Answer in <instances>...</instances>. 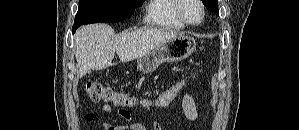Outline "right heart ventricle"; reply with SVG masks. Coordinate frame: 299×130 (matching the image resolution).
I'll return each mask as SVG.
<instances>
[{
  "label": "right heart ventricle",
  "instance_id": "e07e8e85",
  "mask_svg": "<svg viewBox=\"0 0 299 130\" xmlns=\"http://www.w3.org/2000/svg\"><path fill=\"white\" fill-rule=\"evenodd\" d=\"M177 0H151L149 2L145 20L155 27L169 29H184L186 25L177 15Z\"/></svg>",
  "mask_w": 299,
  "mask_h": 130
}]
</instances>
